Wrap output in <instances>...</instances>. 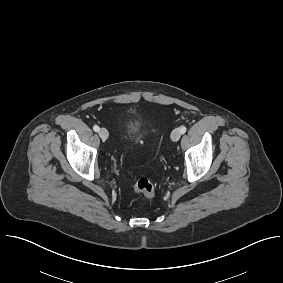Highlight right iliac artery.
I'll return each instance as SVG.
<instances>
[{
	"mask_svg": "<svg viewBox=\"0 0 283 283\" xmlns=\"http://www.w3.org/2000/svg\"><path fill=\"white\" fill-rule=\"evenodd\" d=\"M93 130H94L95 132H98V131L100 130V128H99V126L94 125V126H93Z\"/></svg>",
	"mask_w": 283,
	"mask_h": 283,
	"instance_id": "1",
	"label": "right iliac artery"
}]
</instances>
